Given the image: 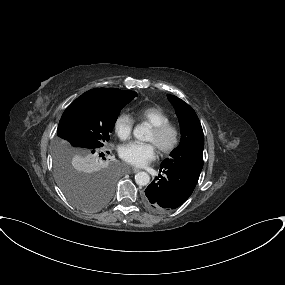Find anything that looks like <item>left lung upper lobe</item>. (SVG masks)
<instances>
[{"label": "left lung upper lobe", "instance_id": "obj_1", "mask_svg": "<svg viewBox=\"0 0 285 285\" xmlns=\"http://www.w3.org/2000/svg\"><path fill=\"white\" fill-rule=\"evenodd\" d=\"M176 110L180 123L181 141L161 166L173 168L199 179L203 168L204 135L195 111L183 100L174 95H167Z\"/></svg>", "mask_w": 285, "mask_h": 285}]
</instances>
